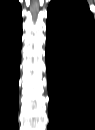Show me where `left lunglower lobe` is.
Masks as SVG:
<instances>
[{"label":"left lung lower lobe","instance_id":"obj_1","mask_svg":"<svg viewBox=\"0 0 95 130\" xmlns=\"http://www.w3.org/2000/svg\"><path fill=\"white\" fill-rule=\"evenodd\" d=\"M49 118L56 128L95 126V26L85 14L48 12Z\"/></svg>","mask_w":95,"mask_h":130}]
</instances>
